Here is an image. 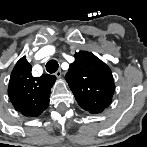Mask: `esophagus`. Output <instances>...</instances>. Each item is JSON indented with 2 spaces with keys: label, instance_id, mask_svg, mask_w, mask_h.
Here are the masks:
<instances>
[{
  "label": "esophagus",
  "instance_id": "esophagus-1",
  "mask_svg": "<svg viewBox=\"0 0 147 147\" xmlns=\"http://www.w3.org/2000/svg\"><path fill=\"white\" fill-rule=\"evenodd\" d=\"M61 75H62V71H61V70H57V71L55 72V76H56L57 78H60Z\"/></svg>",
  "mask_w": 147,
  "mask_h": 147
}]
</instances>
